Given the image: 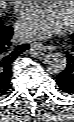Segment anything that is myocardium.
<instances>
[{
  "instance_id": "obj_1",
  "label": "myocardium",
  "mask_w": 74,
  "mask_h": 122,
  "mask_svg": "<svg viewBox=\"0 0 74 122\" xmlns=\"http://www.w3.org/2000/svg\"><path fill=\"white\" fill-rule=\"evenodd\" d=\"M72 7H73V11H72V17H71V22H74V1H72Z\"/></svg>"
}]
</instances>
